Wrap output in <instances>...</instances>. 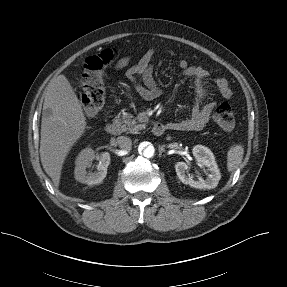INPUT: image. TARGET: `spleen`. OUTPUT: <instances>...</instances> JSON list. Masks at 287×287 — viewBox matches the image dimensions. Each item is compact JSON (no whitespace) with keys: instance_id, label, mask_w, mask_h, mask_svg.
Wrapping results in <instances>:
<instances>
[{"instance_id":"1","label":"spleen","mask_w":287,"mask_h":287,"mask_svg":"<svg viewBox=\"0 0 287 287\" xmlns=\"http://www.w3.org/2000/svg\"><path fill=\"white\" fill-rule=\"evenodd\" d=\"M244 154V148L240 144L230 147L227 152V169L229 172H234L241 164Z\"/></svg>"}]
</instances>
